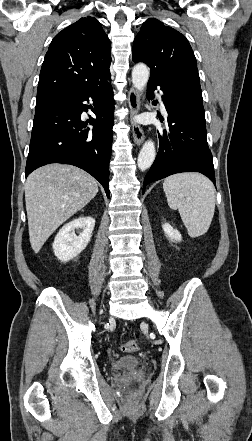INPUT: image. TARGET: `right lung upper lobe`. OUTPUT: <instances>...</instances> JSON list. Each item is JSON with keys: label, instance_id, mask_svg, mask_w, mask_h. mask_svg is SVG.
<instances>
[{"label": "right lung upper lobe", "instance_id": "obj_1", "mask_svg": "<svg viewBox=\"0 0 252 441\" xmlns=\"http://www.w3.org/2000/svg\"><path fill=\"white\" fill-rule=\"evenodd\" d=\"M111 45L100 22L87 16L59 32L42 64L37 100L77 88H96L110 79Z\"/></svg>", "mask_w": 252, "mask_h": 441}]
</instances>
